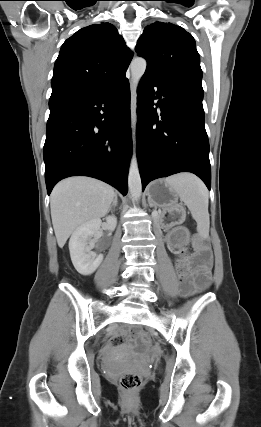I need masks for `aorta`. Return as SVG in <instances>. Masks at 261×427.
Listing matches in <instances>:
<instances>
[{
    "instance_id": "obj_1",
    "label": "aorta",
    "mask_w": 261,
    "mask_h": 427,
    "mask_svg": "<svg viewBox=\"0 0 261 427\" xmlns=\"http://www.w3.org/2000/svg\"><path fill=\"white\" fill-rule=\"evenodd\" d=\"M147 67V62L142 57H136L132 60L130 69H131V116H132V124L135 126L137 122V87L139 85V82L142 78V76L145 73ZM128 186L129 191L133 198L137 199L140 198L142 193V183H141V177L139 173V166H138V160L136 157V153H133L131 162H130V168H129V175H128Z\"/></svg>"
}]
</instances>
